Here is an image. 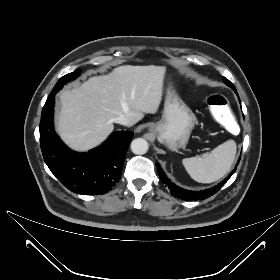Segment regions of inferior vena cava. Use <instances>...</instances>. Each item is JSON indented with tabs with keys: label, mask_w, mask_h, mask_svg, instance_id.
<instances>
[{
	"label": "inferior vena cava",
	"mask_w": 280,
	"mask_h": 280,
	"mask_svg": "<svg viewBox=\"0 0 280 280\" xmlns=\"http://www.w3.org/2000/svg\"><path fill=\"white\" fill-rule=\"evenodd\" d=\"M115 123H119L121 125L130 126V120L124 114L117 116L114 118Z\"/></svg>",
	"instance_id": "602c4592"
}]
</instances>
